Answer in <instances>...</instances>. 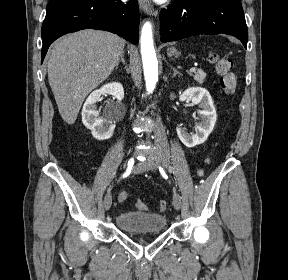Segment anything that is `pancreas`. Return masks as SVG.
Returning a JSON list of instances; mask_svg holds the SVG:
<instances>
[{"mask_svg":"<svg viewBox=\"0 0 288 280\" xmlns=\"http://www.w3.org/2000/svg\"><path fill=\"white\" fill-rule=\"evenodd\" d=\"M192 76L198 83L202 84L205 81L206 73L202 70H198Z\"/></svg>","mask_w":288,"mask_h":280,"instance_id":"cf45deb5","label":"pancreas"}]
</instances>
